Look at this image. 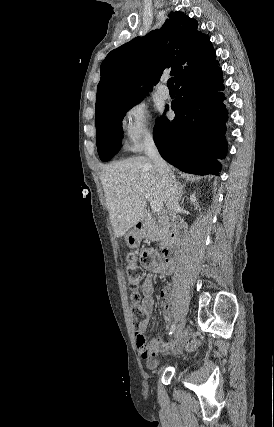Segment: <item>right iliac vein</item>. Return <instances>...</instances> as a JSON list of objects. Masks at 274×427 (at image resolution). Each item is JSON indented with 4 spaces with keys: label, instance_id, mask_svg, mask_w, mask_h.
I'll list each match as a JSON object with an SVG mask.
<instances>
[{
    "label": "right iliac vein",
    "instance_id": "right-iliac-vein-1",
    "mask_svg": "<svg viewBox=\"0 0 274 427\" xmlns=\"http://www.w3.org/2000/svg\"><path fill=\"white\" fill-rule=\"evenodd\" d=\"M184 328H185V317H183L180 320L175 332L174 340H173L174 345L175 344L178 345V348L182 347V343L185 340V334L183 333Z\"/></svg>",
    "mask_w": 274,
    "mask_h": 427
}]
</instances>
